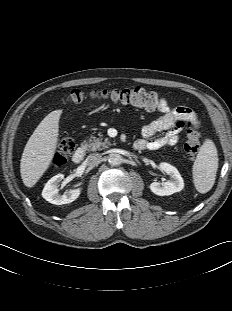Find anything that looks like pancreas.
<instances>
[{
  "label": "pancreas",
  "mask_w": 232,
  "mask_h": 311,
  "mask_svg": "<svg viewBox=\"0 0 232 311\" xmlns=\"http://www.w3.org/2000/svg\"><path fill=\"white\" fill-rule=\"evenodd\" d=\"M102 135L99 134V137L91 136L83 145L82 147L87 151H98L102 150L104 148H107L108 145H110V142L108 139H105L104 142H102Z\"/></svg>",
  "instance_id": "1"
}]
</instances>
